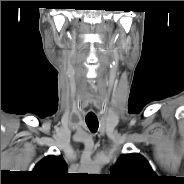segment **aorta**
Listing matches in <instances>:
<instances>
[{"mask_svg":"<svg viewBox=\"0 0 184 184\" xmlns=\"http://www.w3.org/2000/svg\"><path fill=\"white\" fill-rule=\"evenodd\" d=\"M89 174H97L98 172H100V166L99 165H92L89 169H88Z\"/></svg>","mask_w":184,"mask_h":184,"instance_id":"obj_1","label":"aorta"}]
</instances>
